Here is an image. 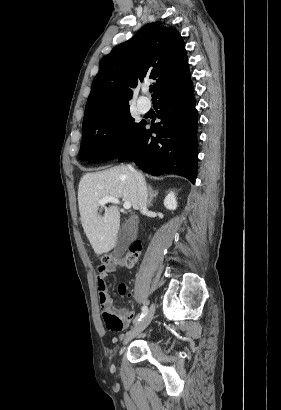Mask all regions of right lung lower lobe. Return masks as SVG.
Returning <instances> with one entry per match:
<instances>
[{
    "label": "right lung lower lobe",
    "mask_w": 281,
    "mask_h": 410,
    "mask_svg": "<svg viewBox=\"0 0 281 410\" xmlns=\"http://www.w3.org/2000/svg\"><path fill=\"white\" fill-rule=\"evenodd\" d=\"M153 104L161 122L150 129L144 122L119 160H131L152 175L174 173L195 183L198 115L192 81L160 95Z\"/></svg>",
    "instance_id": "98d812e1"
}]
</instances>
